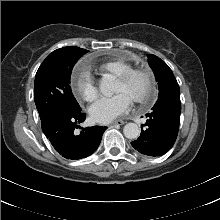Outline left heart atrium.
Wrapping results in <instances>:
<instances>
[{
  "mask_svg": "<svg viewBox=\"0 0 220 220\" xmlns=\"http://www.w3.org/2000/svg\"><path fill=\"white\" fill-rule=\"evenodd\" d=\"M133 98L127 93H119L113 97L101 98L89 109L91 118L98 123H109L127 113Z\"/></svg>",
  "mask_w": 220,
  "mask_h": 220,
  "instance_id": "39dd6f15",
  "label": "left heart atrium"
}]
</instances>
